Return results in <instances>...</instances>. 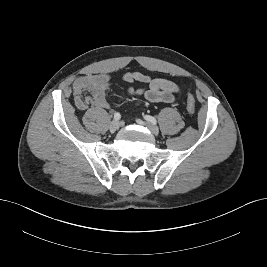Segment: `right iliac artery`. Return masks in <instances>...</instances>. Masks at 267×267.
Here are the masks:
<instances>
[{
	"instance_id": "82829eb1",
	"label": "right iliac artery",
	"mask_w": 267,
	"mask_h": 267,
	"mask_svg": "<svg viewBox=\"0 0 267 267\" xmlns=\"http://www.w3.org/2000/svg\"><path fill=\"white\" fill-rule=\"evenodd\" d=\"M120 118H121L120 113L116 112V113L114 114V119H115L116 121H118V120H120Z\"/></svg>"
}]
</instances>
